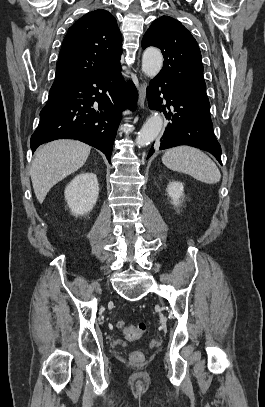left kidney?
Returning a JSON list of instances; mask_svg holds the SVG:
<instances>
[{
    "label": "left kidney",
    "instance_id": "left-kidney-1",
    "mask_svg": "<svg viewBox=\"0 0 265 407\" xmlns=\"http://www.w3.org/2000/svg\"><path fill=\"white\" fill-rule=\"evenodd\" d=\"M166 190L168 196L172 199V204L178 206L180 204L179 199L184 193V185L178 181L170 182Z\"/></svg>",
    "mask_w": 265,
    "mask_h": 407
}]
</instances>
